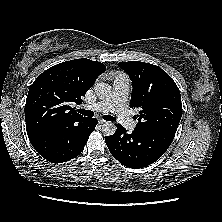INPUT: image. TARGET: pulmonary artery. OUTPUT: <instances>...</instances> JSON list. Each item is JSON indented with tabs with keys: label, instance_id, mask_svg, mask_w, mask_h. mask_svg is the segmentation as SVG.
Masks as SVG:
<instances>
[{
	"label": "pulmonary artery",
	"instance_id": "e3ab8cb5",
	"mask_svg": "<svg viewBox=\"0 0 222 222\" xmlns=\"http://www.w3.org/2000/svg\"><path fill=\"white\" fill-rule=\"evenodd\" d=\"M129 89V78L125 74H118L111 94L101 101L88 105L87 108L99 112H114L118 122L132 131L136 127V122L126 112Z\"/></svg>",
	"mask_w": 222,
	"mask_h": 222
}]
</instances>
